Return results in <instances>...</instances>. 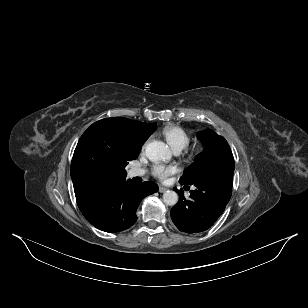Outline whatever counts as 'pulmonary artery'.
I'll list each match as a JSON object with an SVG mask.
<instances>
[{"label":"pulmonary artery","mask_w":308,"mask_h":308,"mask_svg":"<svg viewBox=\"0 0 308 308\" xmlns=\"http://www.w3.org/2000/svg\"><path fill=\"white\" fill-rule=\"evenodd\" d=\"M180 150H175L176 153H178ZM145 174V170L141 168H132L129 170V176L130 177H139Z\"/></svg>","instance_id":"e3ab8cb5"}]
</instances>
